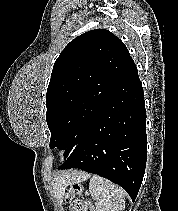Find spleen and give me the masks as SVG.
<instances>
[{"label":"spleen","mask_w":178,"mask_h":211,"mask_svg":"<svg viewBox=\"0 0 178 211\" xmlns=\"http://www.w3.org/2000/svg\"><path fill=\"white\" fill-rule=\"evenodd\" d=\"M89 191L96 201L97 211H123L125 192L109 180L94 175L90 178Z\"/></svg>","instance_id":"1"}]
</instances>
